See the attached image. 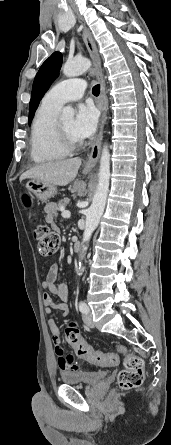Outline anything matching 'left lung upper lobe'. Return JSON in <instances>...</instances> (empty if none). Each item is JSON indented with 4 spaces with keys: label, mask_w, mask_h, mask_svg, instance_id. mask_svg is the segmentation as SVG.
<instances>
[{
    "label": "left lung upper lobe",
    "mask_w": 171,
    "mask_h": 445,
    "mask_svg": "<svg viewBox=\"0 0 171 445\" xmlns=\"http://www.w3.org/2000/svg\"><path fill=\"white\" fill-rule=\"evenodd\" d=\"M61 65L62 54L60 52H54L42 64L37 75L35 76L32 87L31 100L29 104V125L31 124L40 100L47 92L53 81L58 77Z\"/></svg>",
    "instance_id": "5c2ea615"
}]
</instances>
